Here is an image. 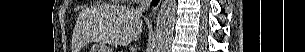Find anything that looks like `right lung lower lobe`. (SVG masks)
<instances>
[{
	"instance_id": "obj_1",
	"label": "right lung lower lobe",
	"mask_w": 305,
	"mask_h": 52,
	"mask_svg": "<svg viewBox=\"0 0 305 52\" xmlns=\"http://www.w3.org/2000/svg\"><path fill=\"white\" fill-rule=\"evenodd\" d=\"M154 5H157L158 0H153Z\"/></svg>"
}]
</instances>
